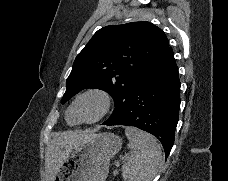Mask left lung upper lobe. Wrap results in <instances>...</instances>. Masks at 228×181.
Wrapping results in <instances>:
<instances>
[{
    "instance_id": "obj_1",
    "label": "left lung upper lobe",
    "mask_w": 228,
    "mask_h": 181,
    "mask_svg": "<svg viewBox=\"0 0 228 181\" xmlns=\"http://www.w3.org/2000/svg\"><path fill=\"white\" fill-rule=\"evenodd\" d=\"M168 44L164 32L147 21L101 28L77 55L61 102L86 88L104 90L115 102L114 112L104 124L118 122L138 78Z\"/></svg>"
}]
</instances>
